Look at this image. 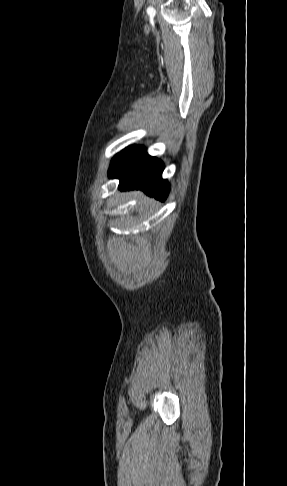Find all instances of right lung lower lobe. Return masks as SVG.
Returning <instances> with one entry per match:
<instances>
[{"label": "right lung lower lobe", "instance_id": "right-lung-lower-lobe-1", "mask_svg": "<svg viewBox=\"0 0 287 486\" xmlns=\"http://www.w3.org/2000/svg\"><path fill=\"white\" fill-rule=\"evenodd\" d=\"M164 165L151 157L142 146H130L117 154L111 162L110 178L120 179L119 189H140L156 199L164 201L169 184L161 175Z\"/></svg>", "mask_w": 287, "mask_h": 486}]
</instances>
